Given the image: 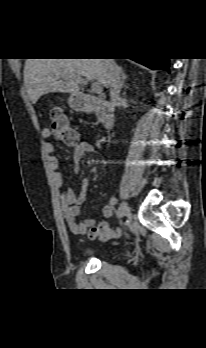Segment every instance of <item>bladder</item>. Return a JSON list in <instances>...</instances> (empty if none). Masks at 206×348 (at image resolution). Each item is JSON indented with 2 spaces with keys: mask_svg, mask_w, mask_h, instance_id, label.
Returning <instances> with one entry per match:
<instances>
[{
  "mask_svg": "<svg viewBox=\"0 0 206 348\" xmlns=\"http://www.w3.org/2000/svg\"><path fill=\"white\" fill-rule=\"evenodd\" d=\"M81 253L85 257H91L96 253V251L94 249H91V248H85L81 251Z\"/></svg>",
  "mask_w": 206,
  "mask_h": 348,
  "instance_id": "1",
  "label": "bladder"
}]
</instances>
